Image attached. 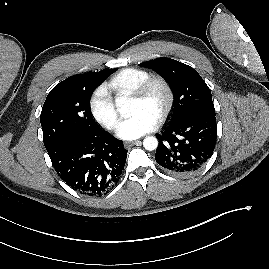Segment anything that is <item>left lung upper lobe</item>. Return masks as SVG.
<instances>
[{
  "instance_id": "5c2ea615",
  "label": "left lung upper lobe",
  "mask_w": 269,
  "mask_h": 269,
  "mask_svg": "<svg viewBox=\"0 0 269 269\" xmlns=\"http://www.w3.org/2000/svg\"><path fill=\"white\" fill-rule=\"evenodd\" d=\"M139 66L154 70L169 84L174 96L171 123L197 114L215 115L211 91L192 67L170 58L146 61Z\"/></svg>"
}]
</instances>
